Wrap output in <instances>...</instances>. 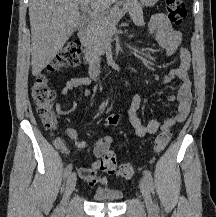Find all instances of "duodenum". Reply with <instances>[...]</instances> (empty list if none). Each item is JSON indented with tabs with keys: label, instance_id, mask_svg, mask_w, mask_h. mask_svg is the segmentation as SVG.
<instances>
[{
	"label": "duodenum",
	"instance_id": "1",
	"mask_svg": "<svg viewBox=\"0 0 216 217\" xmlns=\"http://www.w3.org/2000/svg\"><path fill=\"white\" fill-rule=\"evenodd\" d=\"M87 33H88V28L87 27H83L80 31H79V38H80V40L81 41H85L86 40V38H87ZM89 59L90 60H93V56L92 55H90L89 56ZM98 68L96 67V65L95 64H92L91 65V68H90V73L92 74V75H95V74H97L98 73Z\"/></svg>",
	"mask_w": 216,
	"mask_h": 217
}]
</instances>
